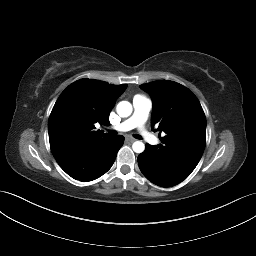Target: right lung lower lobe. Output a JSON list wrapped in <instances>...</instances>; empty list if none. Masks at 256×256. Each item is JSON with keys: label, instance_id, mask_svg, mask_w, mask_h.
<instances>
[{"label": "right lung lower lobe", "instance_id": "98d812e1", "mask_svg": "<svg viewBox=\"0 0 256 256\" xmlns=\"http://www.w3.org/2000/svg\"><path fill=\"white\" fill-rule=\"evenodd\" d=\"M124 137H105L55 157L60 167L72 178L92 181L106 173L113 165Z\"/></svg>", "mask_w": 256, "mask_h": 256}]
</instances>
